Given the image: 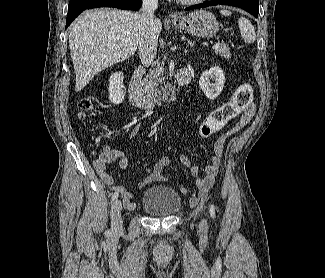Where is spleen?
<instances>
[{
	"label": "spleen",
	"instance_id": "1",
	"mask_svg": "<svg viewBox=\"0 0 325 278\" xmlns=\"http://www.w3.org/2000/svg\"><path fill=\"white\" fill-rule=\"evenodd\" d=\"M220 13L225 16L231 15V12L228 10H221ZM238 26L244 41L246 43H253L256 39V33L251 22L245 17H241L238 20Z\"/></svg>",
	"mask_w": 325,
	"mask_h": 278
}]
</instances>
